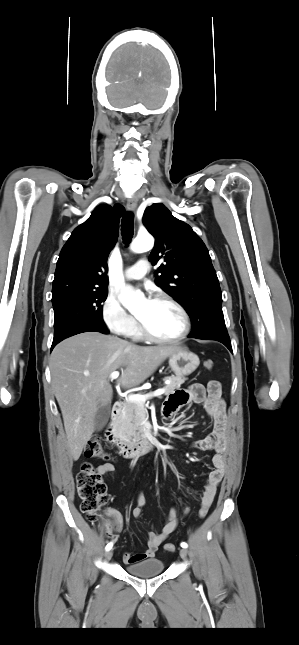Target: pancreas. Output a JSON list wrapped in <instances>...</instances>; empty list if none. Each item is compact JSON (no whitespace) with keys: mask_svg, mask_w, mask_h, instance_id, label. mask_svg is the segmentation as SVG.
Segmentation results:
<instances>
[{"mask_svg":"<svg viewBox=\"0 0 299 645\" xmlns=\"http://www.w3.org/2000/svg\"><path fill=\"white\" fill-rule=\"evenodd\" d=\"M169 384L165 385V395L174 392L180 388L186 378L182 376H169ZM146 417V410L142 404L125 401L123 404V413L116 418L115 432L117 437L124 442H137L144 437L143 420Z\"/></svg>","mask_w":299,"mask_h":645,"instance_id":"1","label":"pancreas"}]
</instances>
